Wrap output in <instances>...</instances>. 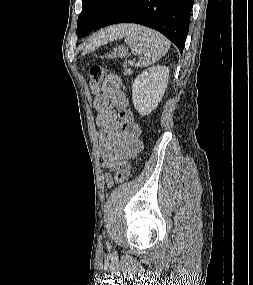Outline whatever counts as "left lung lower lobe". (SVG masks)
Instances as JSON below:
<instances>
[{"label":"left lung lower lobe","instance_id":"0a47b994","mask_svg":"<svg viewBox=\"0 0 253 285\" xmlns=\"http://www.w3.org/2000/svg\"><path fill=\"white\" fill-rule=\"evenodd\" d=\"M194 0H113L100 29L116 23H137L158 30L182 54Z\"/></svg>","mask_w":253,"mask_h":285}]
</instances>
